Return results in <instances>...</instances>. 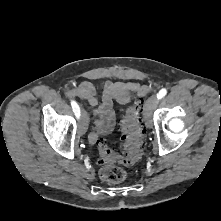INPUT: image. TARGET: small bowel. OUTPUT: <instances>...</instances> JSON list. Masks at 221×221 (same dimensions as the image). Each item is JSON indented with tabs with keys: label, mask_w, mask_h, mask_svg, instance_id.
Wrapping results in <instances>:
<instances>
[{
	"label": "small bowel",
	"mask_w": 221,
	"mask_h": 221,
	"mask_svg": "<svg viewBox=\"0 0 221 221\" xmlns=\"http://www.w3.org/2000/svg\"><path fill=\"white\" fill-rule=\"evenodd\" d=\"M146 90L145 86L136 82L107 81L103 85L101 98H98L94 84L90 81H82L68 90L66 95L88 101L95 116L94 129L89 135V141L94 144L98 142L99 136L108 134L114 126L113 100L126 103L133 96L143 95Z\"/></svg>",
	"instance_id": "c3829d8e"
}]
</instances>
